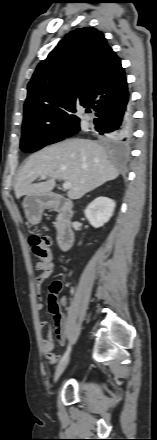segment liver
<instances>
[{
	"label": "liver",
	"instance_id": "6515ba94",
	"mask_svg": "<svg viewBox=\"0 0 157 440\" xmlns=\"http://www.w3.org/2000/svg\"><path fill=\"white\" fill-rule=\"evenodd\" d=\"M118 175L101 145L88 139H70L31 155L18 173L14 191L17 199L24 195L43 196L54 189L56 180H65L72 184L67 196L76 200ZM42 176L48 180L33 184Z\"/></svg>",
	"mask_w": 157,
	"mask_h": 440
}]
</instances>
